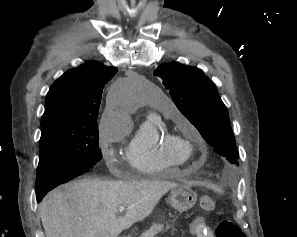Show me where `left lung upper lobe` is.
Wrapping results in <instances>:
<instances>
[{"label": "left lung upper lobe", "instance_id": "left-lung-upper-lobe-1", "mask_svg": "<svg viewBox=\"0 0 297 237\" xmlns=\"http://www.w3.org/2000/svg\"><path fill=\"white\" fill-rule=\"evenodd\" d=\"M154 75L163 80L178 109L213 150L230 163L238 164L239 153L228 111L215 84L198 68L179 63L163 64L154 71Z\"/></svg>", "mask_w": 297, "mask_h": 237}]
</instances>
